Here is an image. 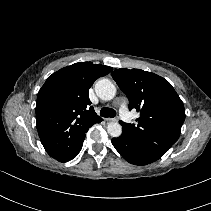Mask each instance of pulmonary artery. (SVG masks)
Returning a JSON list of instances; mask_svg holds the SVG:
<instances>
[{
    "instance_id": "e3ab8cb5",
    "label": "pulmonary artery",
    "mask_w": 211,
    "mask_h": 211,
    "mask_svg": "<svg viewBox=\"0 0 211 211\" xmlns=\"http://www.w3.org/2000/svg\"><path fill=\"white\" fill-rule=\"evenodd\" d=\"M119 113L121 118L126 122H129L132 119L131 114L125 104L121 105L119 108Z\"/></svg>"
}]
</instances>
